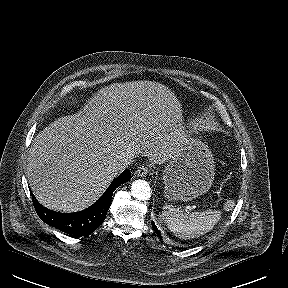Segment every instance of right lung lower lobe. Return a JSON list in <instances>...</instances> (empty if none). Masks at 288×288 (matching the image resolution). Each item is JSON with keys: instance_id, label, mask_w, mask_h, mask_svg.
I'll list each match as a JSON object with an SVG mask.
<instances>
[{"instance_id": "1", "label": "right lung lower lobe", "mask_w": 288, "mask_h": 288, "mask_svg": "<svg viewBox=\"0 0 288 288\" xmlns=\"http://www.w3.org/2000/svg\"><path fill=\"white\" fill-rule=\"evenodd\" d=\"M131 179V173L126 169L115 178L108 189L89 208L76 213H58L43 207L33 196V205L39 217L48 225L53 226L71 236H85L103 223L111 205L113 192L121 184Z\"/></svg>"}]
</instances>
